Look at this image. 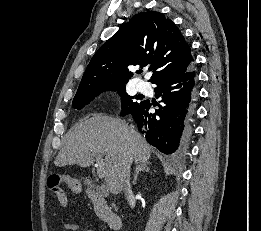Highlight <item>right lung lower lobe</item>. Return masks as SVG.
<instances>
[{
  "mask_svg": "<svg viewBox=\"0 0 261 231\" xmlns=\"http://www.w3.org/2000/svg\"><path fill=\"white\" fill-rule=\"evenodd\" d=\"M155 92L161 96V105L155 113L149 110V100L128 114L132 115L146 140L162 153L172 155L180 152L189 131L188 119L196 92V73L191 66L186 72L161 79L154 83Z\"/></svg>",
  "mask_w": 261,
  "mask_h": 231,
  "instance_id": "obj_1",
  "label": "right lung lower lobe"
}]
</instances>
